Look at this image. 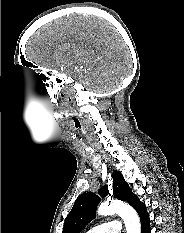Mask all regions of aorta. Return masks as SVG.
Segmentation results:
<instances>
[{"instance_id": "aorta-1", "label": "aorta", "mask_w": 184, "mask_h": 233, "mask_svg": "<svg viewBox=\"0 0 184 233\" xmlns=\"http://www.w3.org/2000/svg\"><path fill=\"white\" fill-rule=\"evenodd\" d=\"M97 212L101 216L117 213L123 217L126 233L141 232L140 220L137 213L130 205L122 201L103 202L99 205Z\"/></svg>"}]
</instances>
